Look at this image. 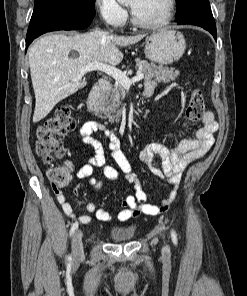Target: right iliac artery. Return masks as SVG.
Returning <instances> with one entry per match:
<instances>
[{
    "label": "right iliac artery",
    "mask_w": 247,
    "mask_h": 296,
    "mask_svg": "<svg viewBox=\"0 0 247 296\" xmlns=\"http://www.w3.org/2000/svg\"><path fill=\"white\" fill-rule=\"evenodd\" d=\"M77 228H78V222L73 223L71 230H70V235H72ZM69 259H71L70 256H69Z\"/></svg>",
    "instance_id": "82829eb1"
}]
</instances>
